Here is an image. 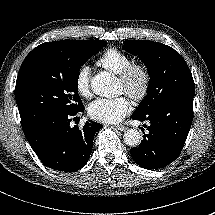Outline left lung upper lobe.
<instances>
[{
  "mask_svg": "<svg viewBox=\"0 0 215 215\" xmlns=\"http://www.w3.org/2000/svg\"><path fill=\"white\" fill-rule=\"evenodd\" d=\"M123 48L138 56L150 74L147 95L133 115L147 114L163 103L194 97L195 85L191 71L173 48L150 40H126Z\"/></svg>",
  "mask_w": 215,
  "mask_h": 215,
  "instance_id": "1",
  "label": "left lung upper lobe"
}]
</instances>
